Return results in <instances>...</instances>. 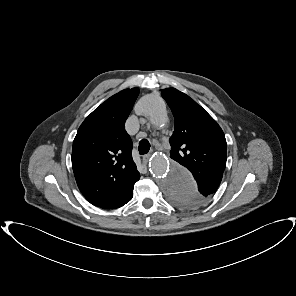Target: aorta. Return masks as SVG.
Returning a JSON list of instances; mask_svg holds the SVG:
<instances>
[{"label": "aorta", "mask_w": 296, "mask_h": 296, "mask_svg": "<svg viewBox=\"0 0 296 296\" xmlns=\"http://www.w3.org/2000/svg\"><path fill=\"white\" fill-rule=\"evenodd\" d=\"M136 109L155 126H163L168 121L166 105L159 96H143L138 101ZM150 170L170 203L181 206L192 200L196 190L195 181L179 162L156 154L151 159Z\"/></svg>", "instance_id": "aorta-1"}]
</instances>
